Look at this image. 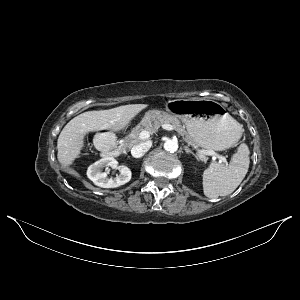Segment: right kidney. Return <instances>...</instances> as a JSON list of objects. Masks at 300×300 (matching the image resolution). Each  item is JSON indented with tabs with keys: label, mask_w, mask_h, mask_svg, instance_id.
Masks as SVG:
<instances>
[{
	"label": "right kidney",
	"mask_w": 300,
	"mask_h": 300,
	"mask_svg": "<svg viewBox=\"0 0 300 300\" xmlns=\"http://www.w3.org/2000/svg\"><path fill=\"white\" fill-rule=\"evenodd\" d=\"M104 167H111L120 171L115 178H108L105 172H101ZM131 170L124 165H118V161L113 157H104L94 164L90 165L87 170L88 178L93 183L102 188H115L129 182L131 179Z\"/></svg>",
	"instance_id": "1"
}]
</instances>
